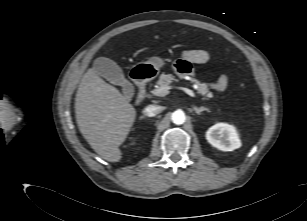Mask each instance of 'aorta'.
<instances>
[{
	"label": "aorta",
	"mask_w": 307,
	"mask_h": 221,
	"mask_svg": "<svg viewBox=\"0 0 307 221\" xmlns=\"http://www.w3.org/2000/svg\"><path fill=\"white\" fill-rule=\"evenodd\" d=\"M171 120L176 125H181L185 122L186 116L182 110H176L171 114Z\"/></svg>",
	"instance_id": "obj_1"
}]
</instances>
